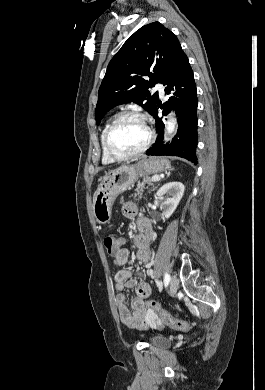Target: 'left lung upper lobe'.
<instances>
[{
  "mask_svg": "<svg viewBox=\"0 0 265 390\" xmlns=\"http://www.w3.org/2000/svg\"><path fill=\"white\" fill-rule=\"evenodd\" d=\"M182 52L176 35L159 22L137 30L108 64L98 92L97 124L110 109L130 102L152 115L158 93L151 94L148 88L165 81Z\"/></svg>",
  "mask_w": 265,
  "mask_h": 390,
  "instance_id": "left-lung-upper-lobe-1",
  "label": "left lung upper lobe"
}]
</instances>
